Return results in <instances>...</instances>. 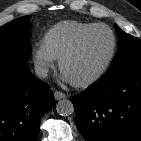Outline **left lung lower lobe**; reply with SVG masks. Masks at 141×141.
I'll use <instances>...</instances> for the list:
<instances>
[{
  "instance_id": "obj_1",
  "label": "left lung lower lobe",
  "mask_w": 141,
  "mask_h": 141,
  "mask_svg": "<svg viewBox=\"0 0 141 141\" xmlns=\"http://www.w3.org/2000/svg\"><path fill=\"white\" fill-rule=\"evenodd\" d=\"M72 102L85 141H140L141 64L105 74Z\"/></svg>"
}]
</instances>
